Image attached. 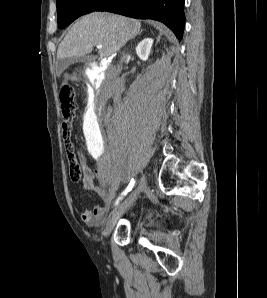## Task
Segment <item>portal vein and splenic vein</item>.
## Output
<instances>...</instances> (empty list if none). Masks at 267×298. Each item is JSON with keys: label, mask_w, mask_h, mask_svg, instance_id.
<instances>
[{"label": "portal vein and splenic vein", "mask_w": 267, "mask_h": 298, "mask_svg": "<svg viewBox=\"0 0 267 298\" xmlns=\"http://www.w3.org/2000/svg\"><path fill=\"white\" fill-rule=\"evenodd\" d=\"M96 47H97V49H101L102 45H97Z\"/></svg>", "instance_id": "1"}]
</instances>
